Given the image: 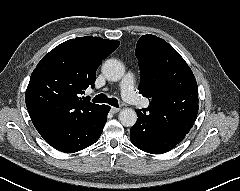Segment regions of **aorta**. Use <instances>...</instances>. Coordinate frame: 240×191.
Returning a JSON list of instances; mask_svg holds the SVG:
<instances>
[{
    "label": "aorta",
    "mask_w": 240,
    "mask_h": 191,
    "mask_svg": "<svg viewBox=\"0 0 240 191\" xmlns=\"http://www.w3.org/2000/svg\"><path fill=\"white\" fill-rule=\"evenodd\" d=\"M102 73L109 81H119L125 74V67L116 59H108L102 65ZM137 118V113L131 108L122 109L118 116L120 123L125 127H132Z\"/></svg>",
    "instance_id": "aorta-1"
}]
</instances>
